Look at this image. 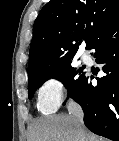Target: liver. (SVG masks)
<instances>
[{"label": "liver", "instance_id": "obj_1", "mask_svg": "<svg viewBox=\"0 0 119 141\" xmlns=\"http://www.w3.org/2000/svg\"><path fill=\"white\" fill-rule=\"evenodd\" d=\"M28 141H104L78 124L72 115H52L33 123Z\"/></svg>", "mask_w": 119, "mask_h": 141}]
</instances>
